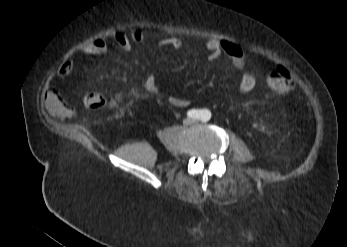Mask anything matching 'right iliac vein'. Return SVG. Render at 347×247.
Returning a JSON list of instances; mask_svg holds the SVG:
<instances>
[{
	"label": "right iliac vein",
	"instance_id": "63e3f726",
	"mask_svg": "<svg viewBox=\"0 0 347 247\" xmlns=\"http://www.w3.org/2000/svg\"><path fill=\"white\" fill-rule=\"evenodd\" d=\"M190 123H191L190 120H185V121H184V125H185V126L189 125Z\"/></svg>",
	"mask_w": 347,
	"mask_h": 247
}]
</instances>
